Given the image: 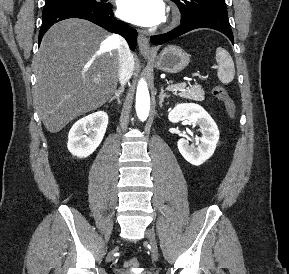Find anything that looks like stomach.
<instances>
[{"label":"stomach","instance_id":"0dacf381","mask_svg":"<svg viewBox=\"0 0 289 274\" xmlns=\"http://www.w3.org/2000/svg\"><path fill=\"white\" fill-rule=\"evenodd\" d=\"M190 62V56L182 48L174 45L165 47L155 59L157 69L167 73H179Z\"/></svg>","mask_w":289,"mask_h":274}]
</instances>
